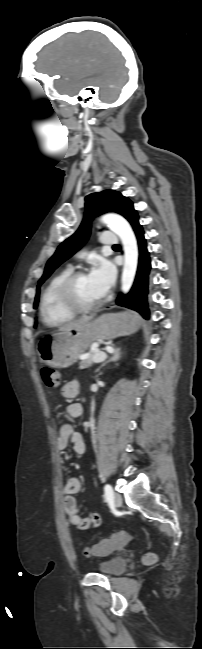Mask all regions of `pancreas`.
<instances>
[{
    "instance_id": "obj_1",
    "label": "pancreas",
    "mask_w": 202,
    "mask_h": 649,
    "mask_svg": "<svg viewBox=\"0 0 202 649\" xmlns=\"http://www.w3.org/2000/svg\"><path fill=\"white\" fill-rule=\"evenodd\" d=\"M96 353H104V352H102V351H100V350H95V351H94V354H96ZM94 354H92L91 356H89L87 359L82 360L81 363H80V367H79V368H80V369H85V368H89V367H91V366L93 365V356H94Z\"/></svg>"
}]
</instances>
